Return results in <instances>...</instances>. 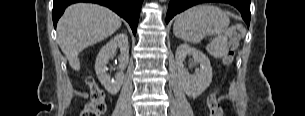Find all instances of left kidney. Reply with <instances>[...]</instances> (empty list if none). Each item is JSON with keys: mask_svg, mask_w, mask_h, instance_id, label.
<instances>
[{"mask_svg": "<svg viewBox=\"0 0 305 116\" xmlns=\"http://www.w3.org/2000/svg\"><path fill=\"white\" fill-rule=\"evenodd\" d=\"M187 55H192L195 63L200 64L195 74L190 75L184 67ZM176 66L180 84L188 97L197 98L201 95L212 81V67L208 57L198 49L190 45H180L175 53Z\"/></svg>", "mask_w": 305, "mask_h": 116, "instance_id": "left-kidney-1", "label": "left kidney"}]
</instances>
